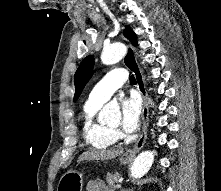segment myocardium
Masks as SVG:
<instances>
[{"instance_id":"obj_1","label":"myocardium","mask_w":221,"mask_h":191,"mask_svg":"<svg viewBox=\"0 0 221 191\" xmlns=\"http://www.w3.org/2000/svg\"><path fill=\"white\" fill-rule=\"evenodd\" d=\"M112 131H116L117 130V127H109Z\"/></svg>"}]
</instances>
